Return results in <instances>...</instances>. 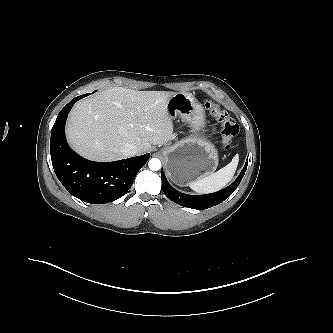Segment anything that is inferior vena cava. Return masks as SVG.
Listing matches in <instances>:
<instances>
[{"label":"inferior vena cava","instance_id":"602c4592","mask_svg":"<svg viewBox=\"0 0 333 333\" xmlns=\"http://www.w3.org/2000/svg\"><path fill=\"white\" fill-rule=\"evenodd\" d=\"M120 151L124 157H132L139 153L138 147L131 143L122 146Z\"/></svg>","mask_w":333,"mask_h":333}]
</instances>
